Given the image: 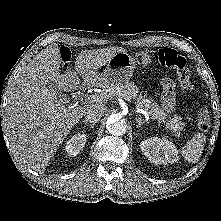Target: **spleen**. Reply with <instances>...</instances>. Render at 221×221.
<instances>
[{
  "mask_svg": "<svg viewBox=\"0 0 221 221\" xmlns=\"http://www.w3.org/2000/svg\"><path fill=\"white\" fill-rule=\"evenodd\" d=\"M206 136L203 133H197L194 137L182 148L181 153L185 160L196 163L202 155Z\"/></svg>",
  "mask_w": 221,
  "mask_h": 221,
  "instance_id": "3e777b00",
  "label": "spleen"
}]
</instances>
